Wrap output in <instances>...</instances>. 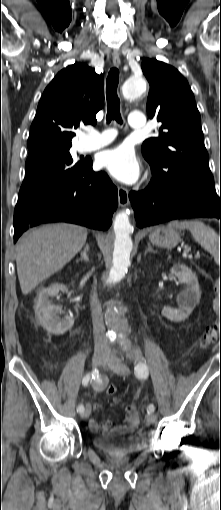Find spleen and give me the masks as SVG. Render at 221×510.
Wrapping results in <instances>:
<instances>
[{
	"label": "spleen",
	"mask_w": 221,
	"mask_h": 510,
	"mask_svg": "<svg viewBox=\"0 0 221 510\" xmlns=\"http://www.w3.org/2000/svg\"><path fill=\"white\" fill-rule=\"evenodd\" d=\"M168 226L189 230L194 240L198 242L210 254H212L215 261L217 262L219 255V237L212 228L199 220H174L171 221Z\"/></svg>",
	"instance_id": "3e777b00"
}]
</instances>
